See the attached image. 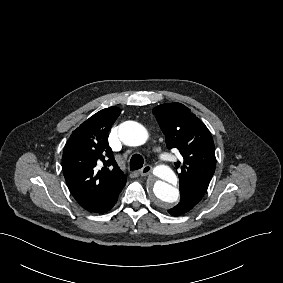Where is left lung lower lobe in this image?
I'll return each instance as SVG.
<instances>
[{
	"mask_svg": "<svg viewBox=\"0 0 283 283\" xmlns=\"http://www.w3.org/2000/svg\"><path fill=\"white\" fill-rule=\"evenodd\" d=\"M181 199L179 204L168 210L173 216H180L189 210H191L204 196V194L192 190V189H181Z\"/></svg>",
	"mask_w": 283,
	"mask_h": 283,
	"instance_id": "left-lung-lower-lobe-1",
	"label": "left lung lower lobe"
}]
</instances>
